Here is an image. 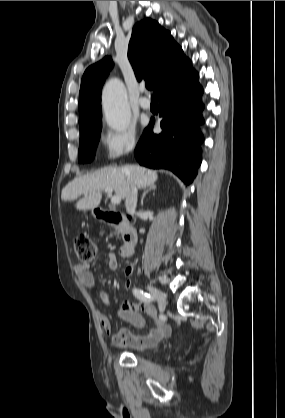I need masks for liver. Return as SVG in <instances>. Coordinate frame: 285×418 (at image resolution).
Segmentation results:
<instances>
[{"label": "liver", "mask_w": 285, "mask_h": 418, "mask_svg": "<svg viewBox=\"0 0 285 418\" xmlns=\"http://www.w3.org/2000/svg\"><path fill=\"white\" fill-rule=\"evenodd\" d=\"M158 175L156 171L139 165H124L120 167H105L92 174L75 178L62 190L63 201H77V210H90L97 208L102 199V191L105 188H112L117 196L125 199L131 190V183L138 188H145L154 185Z\"/></svg>", "instance_id": "obj_1"}]
</instances>
